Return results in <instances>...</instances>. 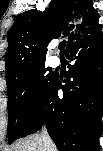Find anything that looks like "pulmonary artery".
Instances as JSON below:
<instances>
[{"label":"pulmonary artery","mask_w":103,"mask_h":151,"mask_svg":"<svg viewBox=\"0 0 103 151\" xmlns=\"http://www.w3.org/2000/svg\"><path fill=\"white\" fill-rule=\"evenodd\" d=\"M52 64L57 65V60L55 58L52 60Z\"/></svg>","instance_id":"1"}]
</instances>
